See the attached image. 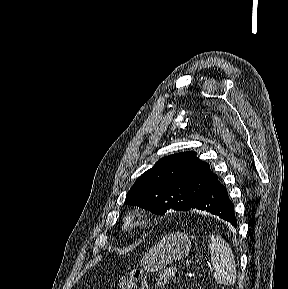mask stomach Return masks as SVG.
I'll list each match as a JSON object with an SVG mask.
<instances>
[{"label":"stomach","instance_id":"stomach-1","mask_svg":"<svg viewBox=\"0 0 288 289\" xmlns=\"http://www.w3.org/2000/svg\"><path fill=\"white\" fill-rule=\"evenodd\" d=\"M190 249L191 241L187 234L182 232L170 233L145 252L140 260V266L148 272L158 271L187 256Z\"/></svg>","mask_w":288,"mask_h":289}]
</instances>
